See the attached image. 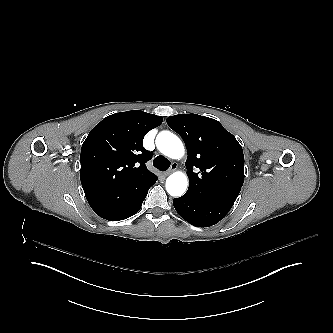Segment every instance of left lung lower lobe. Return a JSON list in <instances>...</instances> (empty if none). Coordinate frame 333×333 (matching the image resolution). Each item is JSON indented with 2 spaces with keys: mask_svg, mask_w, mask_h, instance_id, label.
Listing matches in <instances>:
<instances>
[{
  "mask_svg": "<svg viewBox=\"0 0 333 333\" xmlns=\"http://www.w3.org/2000/svg\"><path fill=\"white\" fill-rule=\"evenodd\" d=\"M173 203L181 217L197 227H209L216 224L232 208L230 204L198 199L186 194L175 198Z\"/></svg>",
  "mask_w": 333,
  "mask_h": 333,
  "instance_id": "0a47b994",
  "label": "left lung lower lobe"
}]
</instances>
